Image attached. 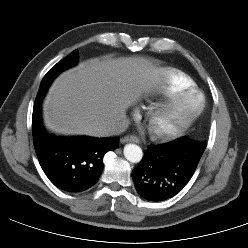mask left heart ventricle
I'll return each instance as SVG.
<instances>
[{
  "label": "left heart ventricle",
  "instance_id": "left-heart-ventricle-1",
  "mask_svg": "<svg viewBox=\"0 0 248 248\" xmlns=\"http://www.w3.org/2000/svg\"><path fill=\"white\" fill-rule=\"evenodd\" d=\"M200 102V97L198 95L193 96L189 100H187L182 108H181V114H186L193 110Z\"/></svg>",
  "mask_w": 248,
  "mask_h": 248
}]
</instances>
